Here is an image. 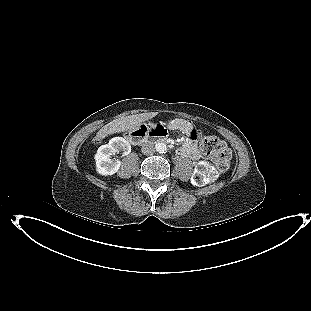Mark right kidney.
I'll use <instances>...</instances> for the list:
<instances>
[{
	"label": "right kidney",
	"instance_id": "ca27d5eb",
	"mask_svg": "<svg viewBox=\"0 0 311 311\" xmlns=\"http://www.w3.org/2000/svg\"><path fill=\"white\" fill-rule=\"evenodd\" d=\"M120 151H123L124 155L131 152L130 143L122 137H114L108 144L99 147L94 157L97 173L102 176L115 174L119 170L121 162L111 159V156Z\"/></svg>",
	"mask_w": 311,
	"mask_h": 311
}]
</instances>
